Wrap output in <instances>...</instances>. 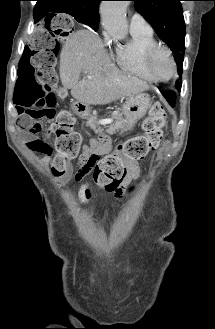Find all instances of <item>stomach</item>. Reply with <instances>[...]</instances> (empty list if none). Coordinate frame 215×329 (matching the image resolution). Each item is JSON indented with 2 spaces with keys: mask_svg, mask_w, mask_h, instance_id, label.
<instances>
[{
  "mask_svg": "<svg viewBox=\"0 0 215 329\" xmlns=\"http://www.w3.org/2000/svg\"><path fill=\"white\" fill-rule=\"evenodd\" d=\"M151 105L150 97L145 93H138L126 99L123 105V114L128 129H131L137 121L143 118ZM73 112L81 117H88L91 109L87 104L76 101L72 104ZM122 134L125 129H119Z\"/></svg>",
  "mask_w": 215,
  "mask_h": 329,
  "instance_id": "obj_1",
  "label": "stomach"
}]
</instances>
